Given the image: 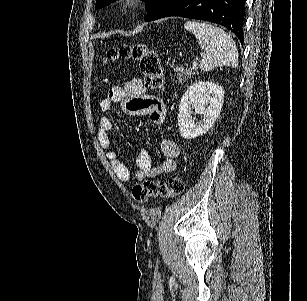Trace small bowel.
<instances>
[{
	"mask_svg": "<svg viewBox=\"0 0 307 301\" xmlns=\"http://www.w3.org/2000/svg\"><path fill=\"white\" fill-rule=\"evenodd\" d=\"M114 103H120L128 114L149 115L154 124L160 125L164 122L166 115L164 102L162 99L148 94L139 79H133L125 86L111 87L107 96L100 102L101 111H109ZM112 130V120L106 116L101 117L98 123L97 139L100 146L106 151L112 170L120 181L155 179L176 169L175 158L179 154V146L173 139L166 138L161 142L163 160L157 165H152L148 152L142 149L135 160L137 172L131 175L126 165L117 158L116 153L110 148Z\"/></svg>",
	"mask_w": 307,
	"mask_h": 301,
	"instance_id": "small-bowel-1",
	"label": "small bowel"
}]
</instances>
